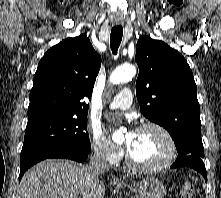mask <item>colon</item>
Masks as SVG:
<instances>
[{
	"label": "colon",
	"mask_w": 221,
	"mask_h": 198,
	"mask_svg": "<svg viewBox=\"0 0 221 198\" xmlns=\"http://www.w3.org/2000/svg\"><path fill=\"white\" fill-rule=\"evenodd\" d=\"M182 198H193L195 195V186L191 182H186L181 187Z\"/></svg>",
	"instance_id": "colon-1"
}]
</instances>
